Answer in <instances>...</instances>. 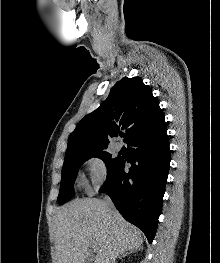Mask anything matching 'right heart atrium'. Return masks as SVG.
<instances>
[{
    "instance_id": "right-heart-atrium-1",
    "label": "right heart atrium",
    "mask_w": 220,
    "mask_h": 263,
    "mask_svg": "<svg viewBox=\"0 0 220 263\" xmlns=\"http://www.w3.org/2000/svg\"><path fill=\"white\" fill-rule=\"evenodd\" d=\"M85 164L89 177L88 189L91 192L98 191L107 181V164L103 158L98 156L90 157Z\"/></svg>"
}]
</instances>
